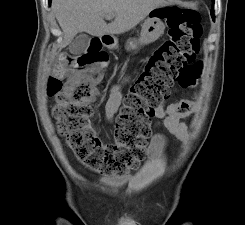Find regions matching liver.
Here are the masks:
<instances>
[{
  "label": "liver",
  "mask_w": 245,
  "mask_h": 225,
  "mask_svg": "<svg viewBox=\"0 0 245 225\" xmlns=\"http://www.w3.org/2000/svg\"><path fill=\"white\" fill-rule=\"evenodd\" d=\"M167 4L166 0H53L52 11L63 31L60 47L69 45L80 32L98 37L125 33L153 9ZM107 14L115 15L109 24L104 21Z\"/></svg>",
  "instance_id": "6515ba94"
}]
</instances>
